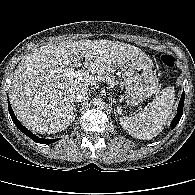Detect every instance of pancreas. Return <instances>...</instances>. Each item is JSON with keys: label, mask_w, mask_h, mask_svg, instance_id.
<instances>
[{"label": "pancreas", "mask_w": 195, "mask_h": 195, "mask_svg": "<svg viewBox=\"0 0 195 195\" xmlns=\"http://www.w3.org/2000/svg\"><path fill=\"white\" fill-rule=\"evenodd\" d=\"M105 79H106L107 83H108L110 86H115V85H117L118 82H119V81H118L114 76H112V75H107V76L105 77Z\"/></svg>", "instance_id": "1"}]
</instances>
